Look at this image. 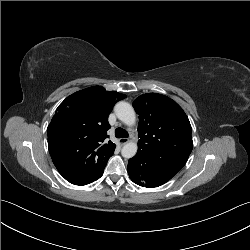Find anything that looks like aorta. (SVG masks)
Returning <instances> with one entry per match:
<instances>
[{"mask_svg": "<svg viewBox=\"0 0 250 250\" xmlns=\"http://www.w3.org/2000/svg\"><path fill=\"white\" fill-rule=\"evenodd\" d=\"M114 111L116 116L120 121L125 123L126 125H134L136 122V115L133 107L124 101L118 102L115 107ZM137 143L129 141L124 144L121 150V154L124 158H132L136 155L137 153Z\"/></svg>", "mask_w": 250, "mask_h": 250, "instance_id": "1", "label": "aorta"}]
</instances>
